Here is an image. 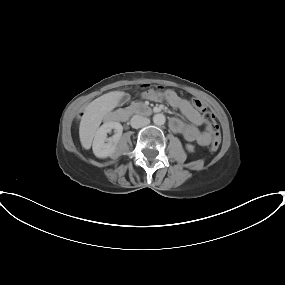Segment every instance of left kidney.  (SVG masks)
Masks as SVG:
<instances>
[{"mask_svg":"<svg viewBox=\"0 0 285 285\" xmlns=\"http://www.w3.org/2000/svg\"><path fill=\"white\" fill-rule=\"evenodd\" d=\"M186 149H187L189 152H193V151H194V146L191 145V144H187V145H186Z\"/></svg>","mask_w":285,"mask_h":285,"instance_id":"1","label":"left kidney"}]
</instances>
